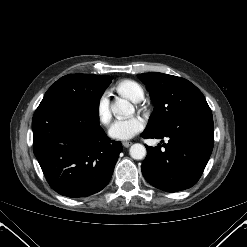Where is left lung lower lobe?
Returning a JSON list of instances; mask_svg holds the SVG:
<instances>
[{
    "instance_id": "0a47b994",
    "label": "left lung lower lobe",
    "mask_w": 247,
    "mask_h": 247,
    "mask_svg": "<svg viewBox=\"0 0 247 247\" xmlns=\"http://www.w3.org/2000/svg\"><path fill=\"white\" fill-rule=\"evenodd\" d=\"M142 136L169 139L167 144H163L165 149L162 150L160 144L156 147L145 145L147 156L141 167L145 179L167 192L185 190L199 180L212 153V113L193 114L160 132L144 130Z\"/></svg>"
}]
</instances>
